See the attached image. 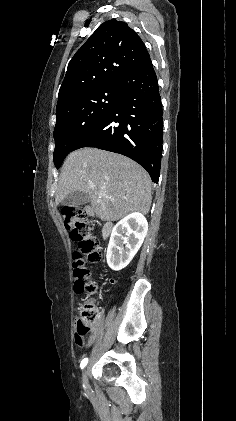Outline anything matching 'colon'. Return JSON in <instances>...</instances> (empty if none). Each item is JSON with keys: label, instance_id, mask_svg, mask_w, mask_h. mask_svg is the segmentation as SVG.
Listing matches in <instances>:
<instances>
[{"label": "colon", "instance_id": "5ec220e1", "mask_svg": "<svg viewBox=\"0 0 236 421\" xmlns=\"http://www.w3.org/2000/svg\"><path fill=\"white\" fill-rule=\"evenodd\" d=\"M64 224L69 230L70 237L78 244L73 253L74 289L78 294L94 293L97 284L91 276L86 263L87 260L97 262L101 258L97 237L93 234V226L86 221V212L80 207H68L63 211ZM100 319L99 308L92 302H83L78 310L75 343L84 346L86 335Z\"/></svg>", "mask_w": 236, "mask_h": 421}]
</instances>
